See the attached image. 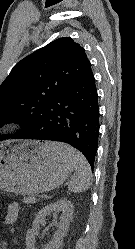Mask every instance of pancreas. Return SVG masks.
Returning a JSON list of instances; mask_svg holds the SVG:
<instances>
[{
	"instance_id": "cf45deb5",
	"label": "pancreas",
	"mask_w": 135,
	"mask_h": 249,
	"mask_svg": "<svg viewBox=\"0 0 135 249\" xmlns=\"http://www.w3.org/2000/svg\"><path fill=\"white\" fill-rule=\"evenodd\" d=\"M36 197L34 195L32 196H29V197H25L23 199V202L26 203V204H34L36 202Z\"/></svg>"
}]
</instances>
